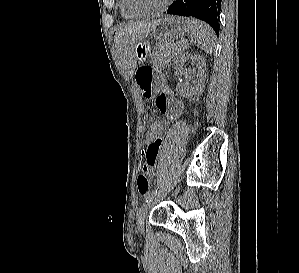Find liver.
<instances>
[{
  "label": "liver",
  "instance_id": "liver-1",
  "mask_svg": "<svg viewBox=\"0 0 299 273\" xmlns=\"http://www.w3.org/2000/svg\"><path fill=\"white\" fill-rule=\"evenodd\" d=\"M159 20L121 24L114 37L115 46L124 66L133 74L137 67L136 47L146 40Z\"/></svg>",
  "mask_w": 299,
  "mask_h": 273
}]
</instances>
